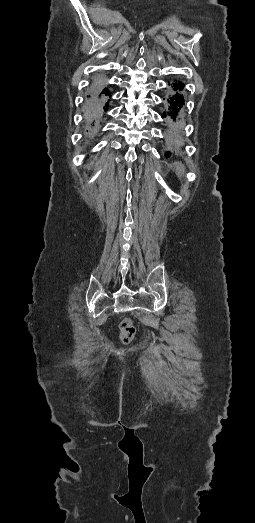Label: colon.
Instances as JSON below:
<instances>
[{
    "label": "colon",
    "mask_w": 255,
    "mask_h": 523,
    "mask_svg": "<svg viewBox=\"0 0 255 523\" xmlns=\"http://www.w3.org/2000/svg\"><path fill=\"white\" fill-rule=\"evenodd\" d=\"M120 339L123 343H130L135 335V326L130 318H124L119 325Z\"/></svg>",
    "instance_id": "colon-1"
}]
</instances>
